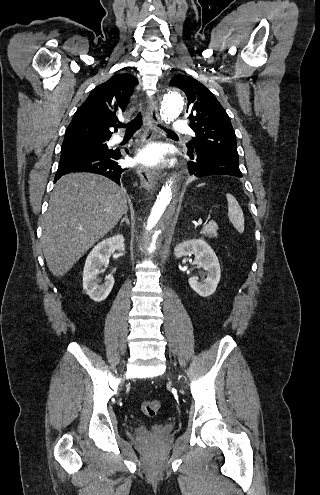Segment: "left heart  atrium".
Listing matches in <instances>:
<instances>
[{"mask_svg":"<svg viewBox=\"0 0 320 495\" xmlns=\"http://www.w3.org/2000/svg\"><path fill=\"white\" fill-rule=\"evenodd\" d=\"M137 163L146 166H158L163 161L162 149L158 145H151L140 149L135 157Z\"/></svg>","mask_w":320,"mask_h":495,"instance_id":"left-heart-atrium-1","label":"left heart atrium"}]
</instances>
